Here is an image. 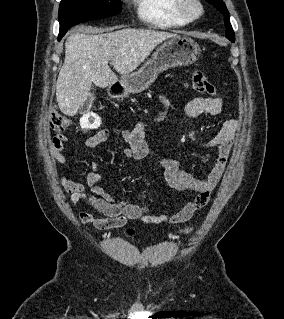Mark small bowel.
Listing matches in <instances>:
<instances>
[{
    "label": "small bowel",
    "mask_w": 284,
    "mask_h": 319,
    "mask_svg": "<svg viewBox=\"0 0 284 319\" xmlns=\"http://www.w3.org/2000/svg\"><path fill=\"white\" fill-rule=\"evenodd\" d=\"M159 101L161 110L156 117L157 120L163 118L168 104L164 96H161ZM222 111L223 102L217 98L196 97L185 106V112L192 117L202 113L218 116ZM238 130L239 124L236 120L226 119L215 136L205 144L206 149L217 152V159L210 171L201 178L194 177L180 169L177 160L151 151L145 141L144 125L141 122L132 129H103L86 139L85 145L88 148H95L105 142L113 133H116L127 143V147L123 151L125 157L136 160L156 159L163 167L165 179L170 187L194 193V196L188 199L178 212L173 214H157L148 206L132 203L128 200L114 199L100 185L102 176L98 163L93 164L92 170L84 182L72 180L62 175L60 182L69 194L73 205L86 201L97 212L82 211L79 213V219L83 224L92 225L96 229L119 228L130 220H141L145 224H181L190 220L197 211L208 203L213 190L225 172ZM66 142L67 137L63 134H58L52 139L51 154L57 164H64L68 159L64 152Z\"/></svg>",
    "instance_id": "c3829d8e"
}]
</instances>
